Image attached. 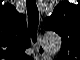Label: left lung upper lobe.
I'll use <instances>...</instances> for the list:
<instances>
[{
	"mask_svg": "<svg viewBox=\"0 0 80 60\" xmlns=\"http://www.w3.org/2000/svg\"><path fill=\"white\" fill-rule=\"evenodd\" d=\"M72 5L69 2H60L54 9L53 14L45 19V29L53 30L62 37V53L72 50V32L71 23Z\"/></svg>",
	"mask_w": 80,
	"mask_h": 60,
	"instance_id": "5c2ea615",
	"label": "left lung upper lobe"
}]
</instances>
